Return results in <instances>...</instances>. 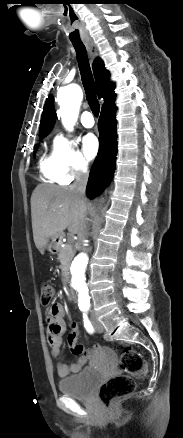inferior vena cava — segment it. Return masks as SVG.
<instances>
[{"label": "inferior vena cava", "mask_w": 183, "mask_h": 438, "mask_svg": "<svg viewBox=\"0 0 183 438\" xmlns=\"http://www.w3.org/2000/svg\"><path fill=\"white\" fill-rule=\"evenodd\" d=\"M88 176L89 173L86 168L79 169L75 173L74 183L70 186V189L75 191L82 200H86V185L88 182ZM80 234L83 240L87 235V226H85V229Z\"/></svg>", "instance_id": "602c4592"}]
</instances>
